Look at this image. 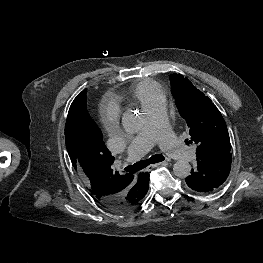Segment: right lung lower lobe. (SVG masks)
Wrapping results in <instances>:
<instances>
[{
  "label": "right lung lower lobe",
  "instance_id": "right-lung-lower-lobe-1",
  "mask_svg": "<svg viewBox=\"0 0 263 263\" xmlns=\"http://www.w3.org/2000/svg\"><path fill=\"white\" fill-rule=\"evenodd\" d=\"M140 184L146 186L148 189L149 187V174L148 173H140ZM148 191V190H147ZM126 199L120 198V199H113L108 200L103 203V205L114 212H121L123 211V207L126 205Z\"/></svg>",
  "mask_w": 263,
  "mask_h": 263
}]
</instances>
